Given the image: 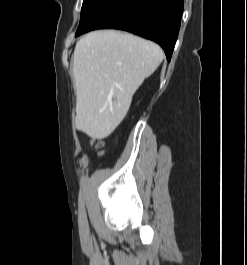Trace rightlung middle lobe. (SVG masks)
<instances>
[{"label":"right lung middle lobe","mask_w":247,"mask_h":265,"mask_svg":"<svg viewBox=\"0 0 247 265\" xmlns=\"http://www.w3.org/2000/svg\"><path fill=\"white\" fill-rule=\"evenodd\" d=\"M98 1L99 0H83L80 21H82L86 17V15L91 11V9L97 4Z\"/></svg>","instance_id":"dd1d6c3e"}]
</instances>
